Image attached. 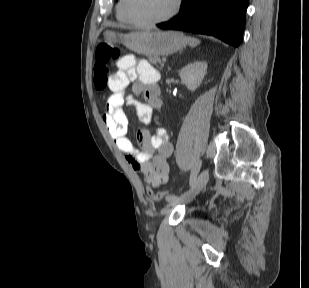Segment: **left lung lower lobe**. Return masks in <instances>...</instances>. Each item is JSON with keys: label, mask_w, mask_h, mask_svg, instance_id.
<instances>
[{"label": "left lung lower lobe", "mask_w": 309, "mask_h": 288, "mask_svg": "<svg viewBox=\"0 0 309 288\" xmlns=\"http://www.w3.org/2000/svg\"><path fill=\"white\" fill-rule=\"evenodd\" d=\"M249 0H182L181 12L157 26L215 36L239 46Z\"/></svg>", "instance_id": "1"}]
</instances>
